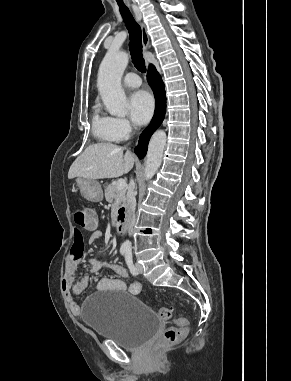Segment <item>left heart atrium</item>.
Returning a JSON list of instances; mask_svg holds the SVG:
<instances>
[{
  "instance_id": "obj_1",
  "label": "left heart atrium",
  "mask_w": 291,
  "mask_h": 381,
  "mask_svg": "<svg viewBox=\"0 0 291 381\" xmlns=\"http://www.w3.org/2000/svg\"><path fill=\"white\" fill-rule=\"evenodd\" d=\"M129 111L136 124H146L154 111V102L150 94L145 91L134 92L129 98Z\"/></svg>"
}]
</instances>
